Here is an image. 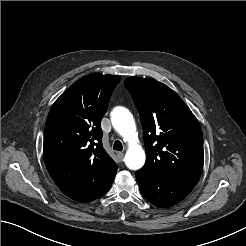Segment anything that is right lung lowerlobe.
<instances>
[{
	"instance_id": "right-lung-lower-lobe-1",
	"label": "right lung lower lobe",
	"mask_w": 246,
	"mask_h": 246,
	"mask_svg": "<svg viewBox=\"0 0 246 246\" xmlns=\"http://www.w3.org/2000/svg\"><path fill=\"white\" fill-rule=\"evenodd\" d=\"M114 178L110 179L107 184L100 186L98 184H90L82 187L61 189L68 197L79 202H91L103 196L111 187Z\"/></svg>"
}]
</instances>
